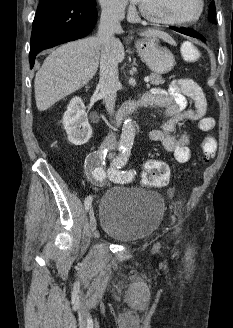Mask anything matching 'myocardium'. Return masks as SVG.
<instances>
[{
	"label": "myocardium",
	"mask_w": 233,
	"mask_h": 328,
	"mask_svg": "<svg viewBox=\"0 0 233 328\" xmlns=\"http://www.w3.org/2000/svg\"><path fill=\"white\" fill-rule=\"evenodd\" d=\"M197 4H198V8H197L196 14L192 18L187 19V20H170V19L160 18V17L154 16V15L148 13L141 5H139V12L143 18H145L146 20H148L152 23L158 24V25L190 26V25L197 23L201 19L202 15L204 13V9H205L204 0H197Z\"/></svg>",
	"instance_id": "obj_1"
}]
</instances>
